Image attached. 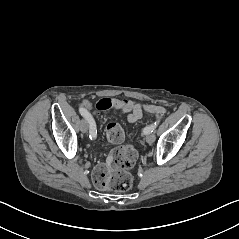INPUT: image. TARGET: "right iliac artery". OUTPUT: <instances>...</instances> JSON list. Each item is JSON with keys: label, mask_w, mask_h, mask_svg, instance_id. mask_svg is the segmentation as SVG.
<instances>
[{"label": "right iliac artery", "mask_w": 239, "mask_h": 239, "mask_svg": "<svg viewBox=\"0 0 239 239\" xmlns=\"http://www.w3.org/2000/svg\"><path fill=\"white\" fill-rule=\"evenodd\" d=\"M79 112L90 124V131H89L90 139H95L97 136V130H96L94 120L92 119L91 115L88 113V111L85 108H82V107L79 108Z\"/></svg>", "instance_id": "right-iliac-artery-1"}]
</instances>
